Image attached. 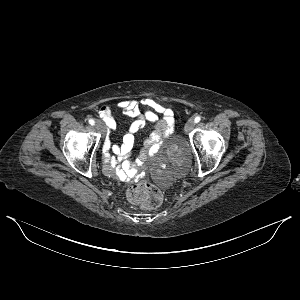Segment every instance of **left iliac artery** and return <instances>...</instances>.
Instances as JSON below:
<instances>
[{
  "label": "left iliac artery",
  "instance_id": "44dca946",
  "mask_svg": "<svg viewBox=\"0 0 300 300\" xmlns=\"http://www.w3.org/2000/svg\"><path fill=\"white\" fill-rule=\"evenodd\" d=\"M200 120H201V117H200V116H196L195 119H194L195 123L200 122Z\"/></svg>",
  "mask_w": 300,
  "mask_h": 300
}]
</instances>
